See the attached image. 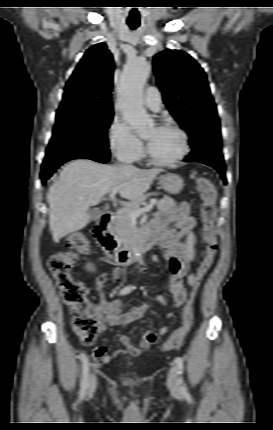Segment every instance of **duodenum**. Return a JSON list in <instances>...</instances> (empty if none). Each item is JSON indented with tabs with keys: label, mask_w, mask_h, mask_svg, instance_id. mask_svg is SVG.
<instances>
[{
	"label": "duodenum",
	"mask_w": 273,
	"mask_h": 430,
	"mask_svg": "<svg viewBox=\"0 0 273 430\" xmlns=\"http://www.w3.org/2000/svg\"><path fill=\"white\" fill-rule=\"evenodd\" d=\"M112 218L113 212H105L94 228V236L114 264L127 266L136 259L137 255L150 251L156 244L155 235L145 232L136 236L128 245H119L110 231Z\"/></svg>",
	"instance_id": "410a0bca"
}]
</instances>
